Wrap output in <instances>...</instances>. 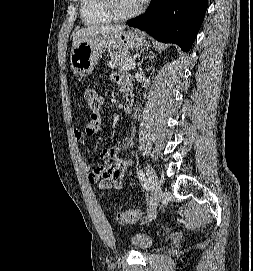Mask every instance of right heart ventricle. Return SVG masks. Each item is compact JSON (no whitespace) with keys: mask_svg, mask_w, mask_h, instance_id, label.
Here are the masks:
<instances>
[{"mask_svg":"<svg viewBox=\"0 0 253 271\" xmlns=\"http://www.w3.org/2000/svg\"><path fill=\"white\" fill-rule=\"evenodd\" d=\"M80 16L87 26L104 25L113 21L104 8L103 0H80Z\"/></svg>","mask_w":253,"mask_h":271,"instance_id":"1","label":"right heart ventricle"}]
</instances>
